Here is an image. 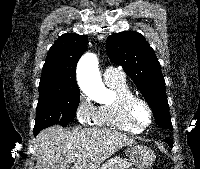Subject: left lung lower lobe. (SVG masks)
Wrapping results in <instances>:
<instances>
[{"label": "left lung lower lobe", "instance_id": "0a47b994", "mask_svg": "<svg viewBox=\"0 0 200 169\" xmlns=\"http://www.w3.org/2000/svg\"><path fill=\"white\" fill-rule=\"evenodd\" d=\"M171 147H172V145H173V142H172V140H168V139H166L165 140Z\"/></svg>", "mask_w": 200, "mask_h": 169}]
</instances>
